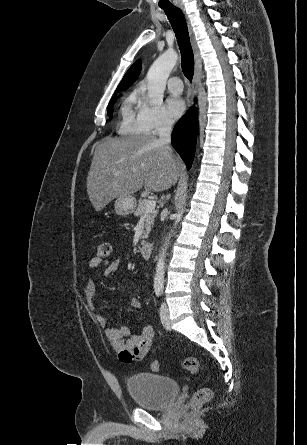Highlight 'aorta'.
<instances>
[{
	"instance_id": "obj_1",
	"label": "aorta",
	"mask_w": 307,
	"mask_h": 445,
	"mask_svg": "<svg viewBox=\"0 0 307 445\" xmlns=\"http://www.w3.org/2000/svg\"><path fill=\"white\" fill-rule=\"evenodd\" d=\"M178 58V52H176L174 48H168V50L160 54V56L154 60L152 66H150L147 72V94L153 104H162L167 78ZM182 214L183 208L176 212L175 223L171 233H174V229H176L178 223H180ZM168 241H170V237H167L166 243L163 245L156 263V273L153 283L154 291H163L164 289L165 255Z\"/></svg>"
}]
</instances>
